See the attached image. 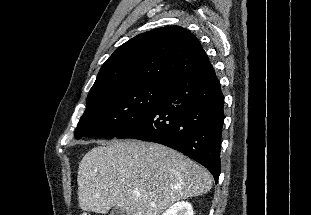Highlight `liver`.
<instances>
[{
	"label": "liver",
	"instance_id": "6515ba94",
	"mask_svg": "<svg viewBox=\"0 0 311 215\" xmlns=\"http://www.w3.org/2000/svg\"><path fill=\"white\" fill-rule=\"evenodd\" d=\"M78 201L83 211L160 215L173 203L207 193L210 173L166 146L141 141L102 143L78 168ZM136 192L140 195L136 196Z\"/></svg>",
	"mask_w": 311,
	"mask_h": 215
}]
</instances>
